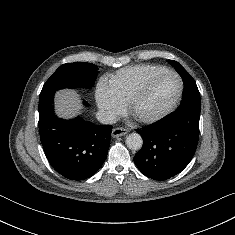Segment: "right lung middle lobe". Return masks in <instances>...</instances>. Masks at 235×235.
I'll return each instance as SVG.
<instances>
[{
	"mask_svg": "<svg viewBox=\"0 0 235 235\" xmlns=\"http://www.w3.org/2000/svg\"><path fill=\"white\" fill-rule=\"evenodd\" d=\"M98 72L97 66L92 63L63 64L46 81L39 98L55 93L62 88H90L93 86Z\"/></svg>",
	"mask_w": 235,
	"mask_h": 235,
	"instance_id": "obj_1",
	"label": "right lung middle lobe"
}]
</instances>
